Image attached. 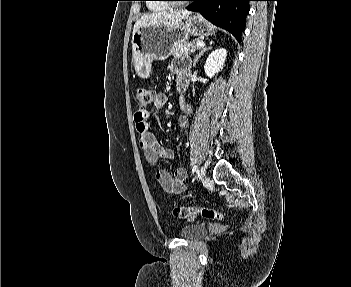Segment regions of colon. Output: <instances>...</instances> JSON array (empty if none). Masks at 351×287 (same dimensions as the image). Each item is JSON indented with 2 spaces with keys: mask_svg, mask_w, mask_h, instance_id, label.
Listing matches in <instances>:
<instances>
[{
  "mask_svg": "<svg viewBox=\"0 0 351 287\" xmlns=\"http://www.w3.org/2000/svg\"><path fill=\"white\" fill-rule=\"evenodd\" d=\"M135 98L139 105V108L146 110L155 99V93L149 88H138L135 91ZM173 215L176 218L192 220L197 216H201L209 220H221L224 217V213L221 211L203 208V207H186L176 206L173 209Z\"/></svg>",
  "mask_w": 351,
  "mask_h": 287,
  "instance_id": "1",
  "label": "colon"
}]
</instances>
